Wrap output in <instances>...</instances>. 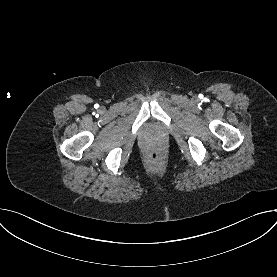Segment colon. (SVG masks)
Listing matches in <instances>:
<instances>
[{
    "instance_id": "obj_1",
    "label": "colon",
    "mask_w": 277,
    "mask_h": 277,
    "mask_svg": "<svg viewBox=\"0 0 277 277\" xmlns=\"http://www.w3.org/2000/svg\"><path fill=\"white\" fill-rule=\"evenodd\" d=\"M150 159L154 162L158 161L160 159V153L159 152H152L150 154Z\"/></svg>"
}]
</instances>
